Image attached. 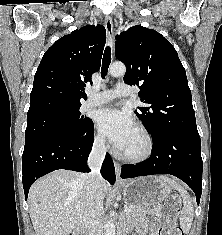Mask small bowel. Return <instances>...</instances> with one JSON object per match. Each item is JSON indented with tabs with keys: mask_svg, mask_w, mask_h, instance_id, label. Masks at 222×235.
<instances>
[{
	"mask_svg": "<svg viewBox=\"0 0 222 235\" xmlns=\"http://www.w3.org/2000/svg\"><path fill=\"white\" fill-rule=\"evenodd\" d=\"M141 231H142V230H141ZM140 235H144V233L141 232ZM150 235H155V233H150Z\"/></svg>",
	"mask_w": 222,
	"mask_h": 235,
	"instance_id": "c3829d8e",
	"label": "small bowel"
}]
</instances>
